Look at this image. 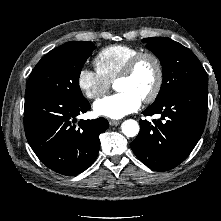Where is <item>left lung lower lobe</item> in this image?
<instances>
[{
  "instance_id": "0a47b994",
  "label": "left lung lower lobe",
  "mask_w": 221,
  "mask_h": 221,
  "mask_svg": "<svg viewBox=\"0 0 221 221\" xmlns=\"http://www.w3.org/2000/svg\"><path fill=\"white\" fill-rule=\"evenodd\" d=\"M207 86H192L151 105L144 115L161 114V120L140 122L131 142L135 155L155 171H168L183 162L200 139L207 119Z\"/></svg>"
}]
</instances>
